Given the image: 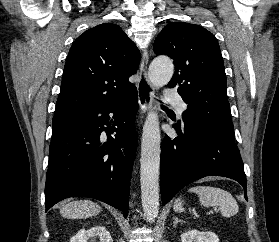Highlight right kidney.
<instances>
[{
	"label": "right kidney",
	"mask_w": 279,
	"mask_h": 242,
	"mask_svg": "<svg viewBox=\"0 0 279 242\" xmlns=\"http://www.w3.org/2000/svg\"><path fill=\"white\" fill-rule=\"evenodd\" d=\"M96 237L99 238L100 242H113L110 233L101 225H96L88 230L81 229L70 239V242H87L90 238Z\"/></svg>",
	"instance_id": "1"
}]
</instances>
